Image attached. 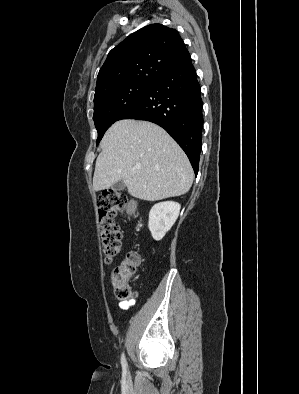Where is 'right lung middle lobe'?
Masks as SVG:
<instances>
[{"instance_id":"1","label":"right lung middle lobe","mask_w":299,"mask_h":394,"mask_svg":"<svg viewBox=\"0 0 299 394\" xmlns=\"http://www.w3.org/2000/svg\"><path fill=\"white\" fill-rule=\"evenodd\" d=\"M151 83L132 82L94 96L93 120L98 131V145L106 130L131 108Z\"/></svg>"}]
</instances>
